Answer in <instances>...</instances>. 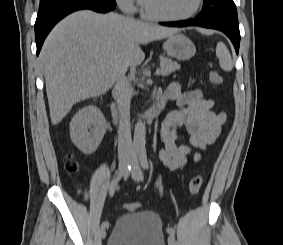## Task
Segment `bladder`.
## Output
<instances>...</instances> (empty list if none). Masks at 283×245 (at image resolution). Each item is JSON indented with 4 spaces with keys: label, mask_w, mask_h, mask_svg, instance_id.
I'll return each instance as SVG.
<instances>
[{
    "label": "bladder",
    "mask_w": 283,
    "mask_h": 245,
    "mask_svg": "<svg viewBox=\"0 0 283 245\" xmlns=\"http://www.w3.org/2000/svg\"><path fill=\"white\" fill-rule=\"evenodd\" d=\"M107 245H165L162 221L150 210L127 212L117 219Z\"/></svg>",
    "instance_id": "obj_1"
}]
</instances>
